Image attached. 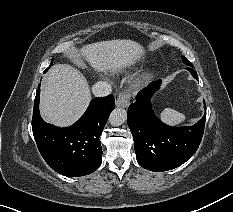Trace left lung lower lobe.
I'll return each instance as SVG.
<instances>
[{"label":"left lung lower lobe","mask_w":233,"mask_h":212,"mask_svg":"<svg viewBox=\"0 0 233 212\" xmlns=\"http://www.w3.org/2000/svg\"><path fill=\"white\" fill-rule=\"evenodd\" d=\"M198 80L197 73L187 68ZM161 80L152 82L136 96L128 108L127 124L134 140L138 163L151 171L174 169L189 160L201 142L206 113L193 126L171 127L161 122L152 110L150 99L160 88Z\"/></svg>","instance_id":"obj_1"}]
</instances>
